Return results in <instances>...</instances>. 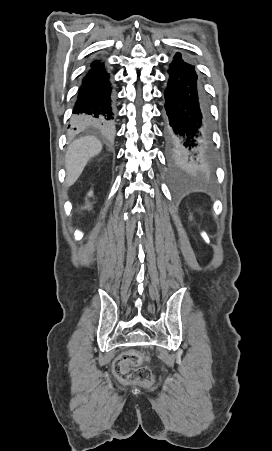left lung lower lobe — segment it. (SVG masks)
I'll use <instances>...</instances> for the list:
<instances>
[{
    "label": "left lung lower lobe",
    "mask_w": 272,
    "mask_h": 451,
    "mask_svg": "<svg viewBox=\"0 0 272 451\" xmlns=\"http://www.w3.org/2000/svg\"><path fill=\"white\" fill-rule=\"evenodd\" d=\"M168 74L164 134L170 162L175 166H210L206 109L195 67L176 53Z\"/></svg>",
    "instance_id": "left-lung-lower-lobe-1"
}]
</instances>
